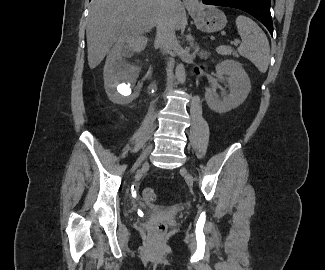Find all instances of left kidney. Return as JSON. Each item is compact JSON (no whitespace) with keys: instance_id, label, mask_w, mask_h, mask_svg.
Segmentation results:
<instances>
[{"instance_id":"5707ae66","label":"left kidney","mask_w":325,"mask_h":270,"mask_svg":"<svg viewBox=\"0 0 325 270\" xmlns=\"http://www.w3.org/2000/svg\"><path fill=\"white\" fill-rule=\"evenodd\" d=\"M215 69L219 79L227 76L230 93L223 100H219L216 97L214 84H212L206 89L205 99L210 109L217 113H226L245 101L251 90L250 79L242 65L234 60L222 61L216 65Z\"/></svg>"}]
</instances>
